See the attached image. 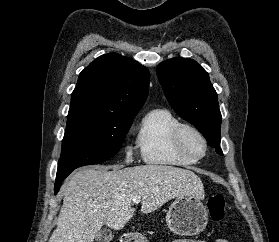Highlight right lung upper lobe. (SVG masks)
I'll return each instance as SVG.
<instances>
[{"label":"right lung upper lobe","mask_w":279,"mask_h":242,"mask_svg":"<svg viewBox=\"0 0 279 242\" xmlns=\"http://www.w3.org/2000/svg\"><path fill=\"white\" fill-rule=\"evenodd\" d=\"M148 87L146 67L117 53L104 54L79 74L68 115L134 117L144 105Z\"/></svg>","instance_id":"right-lung-upper-lobe-1"}]
</instances>
